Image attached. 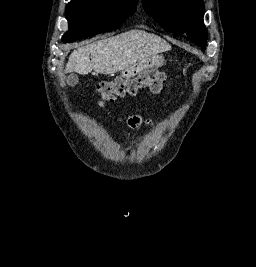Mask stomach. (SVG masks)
<instances>
[{
	"label": "stomach",
	"mask_w": 256,
	"mask_h": 267,
	"mask_svg": "<svg viewBox=\"0 0 256 267\" xmlns=\"http://www.w3.org/2000/svg\"><path fill=\"white\" fill-rule=\"evenodd\" d=\"M135 67H165V62H135Z\"/></svg>",
	"instance_id": "obj_1"
}]
</instances>
